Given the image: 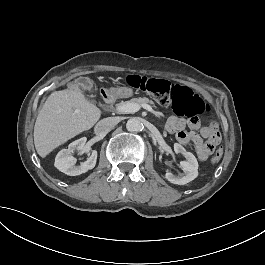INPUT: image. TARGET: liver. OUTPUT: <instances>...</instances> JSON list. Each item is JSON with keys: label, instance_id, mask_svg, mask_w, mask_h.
I'll return each instance as SVG.
<instances>
[{"label": "liver", "instance_id": "6515ba94", "mask_svg": "<svg viewBox=\"0 0 265 265\" xmlns=\"http://www.w3.org/2000/svg\"><path fill=\"white\" fill-rule=\"evenodd\" d=\"M100 115V109L85 99L77 83L51 93L34 126L37 153L46 157L56 147L92 128Z\"/></svg>", "mask_w": 265, "mask_h": 265}]
</instances>
